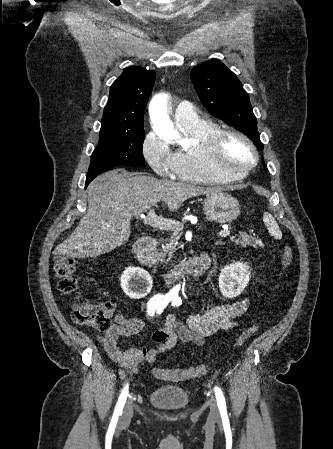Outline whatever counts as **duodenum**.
Listing matches in <instances>:
<instances>
[{
  "label": "duodenum",
  "mask_w": 333,
  "mask_h": 449,
  "mask_svg": "<svg viewBox=\"0 0 333 449\" xmlns=\"http://www.w3.org/2000/svg\"><path fill=\"white\" fill-rule=\"evenodd\" d=\"M158 242L153 237L142 238L134 247V253L140 262L145 267H152L153 258L157 249ZM211 260L209 255L202 254L189 262L184 272L188 276H198L203 274L210 266ZM181 271H172L165 275L164 280L167 286H171L179 278Z\"/></svg>",
  "instance_id": "duodenum-1"
}]
</instances>
